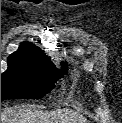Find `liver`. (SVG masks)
<instances>
[{
	"label": "liver",
	"mask_w": 122,
	"mask_h": 123,
	"mask_svg": "<svg viewBox=\"0 0 122 123\" xmlns=\"http://www.w3.org/2000/svg\"><path fill=\"white\" fill-rule=\"evenodd\" d=\"M9 123H86L81 115L68 110L41 112L32 106L8 109Z\"/></svg>",
	"instance_id": "obj_1"
}]
</instances>
